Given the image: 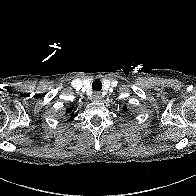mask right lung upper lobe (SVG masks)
<instances>
[{"label": "right lung upper lobe", "mask_w": 196, "mask_h": 196, "mask_svg": "<svg viewBox=\"0 0 196 196\" xmlns=\"http://www.w3.org/2000/svg\"><path fill=\"white\" fill-rule=\"evenodd\" d=\"M71 110H72V108L68 109V110H67V113H71V112H70ZM75 116H76V114L71 113L70 119L75 118Z\"/></svg>", "instance_id": "obj_1"}]
</instances>
